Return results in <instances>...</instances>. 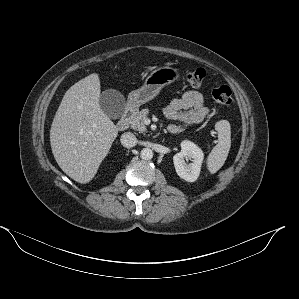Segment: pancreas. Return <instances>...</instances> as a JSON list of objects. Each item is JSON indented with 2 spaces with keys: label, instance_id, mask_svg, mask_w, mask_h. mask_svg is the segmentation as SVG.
<instances>
[{
  "label": "pancreas",
  "instance_id": "1",
  "mask_svg": "<svg viewBox=\"0 0 299 299\" xmlns=\"http://www.w3.org/2000/svg\"><path fill=\"white\" fill-rule=\"evenodd\" d=\"M148 113V109H142L140 112H138L130 122L131 128L139 131L140 133L146 132L147 129L144 121L147 118Z\"/></svg>",
  "mask_w": 299,
  "mask_h": 299
}]
</instances>
